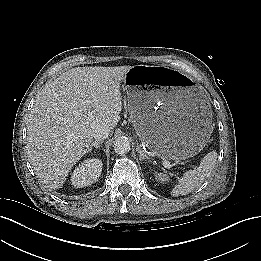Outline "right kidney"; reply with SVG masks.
Masks as SVG:
<instances>
[{"label":"right kidney","mask_w":261,"mask_h":261,"mask_svg":"<svg viewBox=\"0 0 261 261\" xmlns=\"http://www.w3.org/2000/svg\"><path fill=\"white\" fill-rule=\"evenodd\" d=\"M102 161L92 158L83 161L71 175V183L76 188H82L96 182L102 171Z\"/></svg>","instance_id":"1"}]
</instances>
